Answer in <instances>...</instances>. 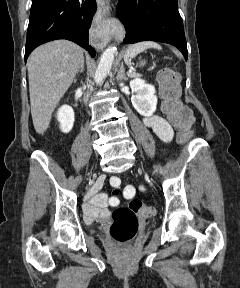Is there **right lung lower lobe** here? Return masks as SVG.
<instances>
[{"mask_svg":"<svg viewBox=\"0 0 240 288\" xmlns=\"http://www.w3.org/2000/svg\"><path fill=\"white\" fill-rule=\"evenodd\" d=\"M96 9L95 0H32L25 61L37 46L56 39L71 40L94 57L88 33Z\"/></svg>","mask_w":240,"mask_h":288,"instance_id":"right-lung-lower-lobe-1","label":"right lung lower lobe"}]
</instances>
